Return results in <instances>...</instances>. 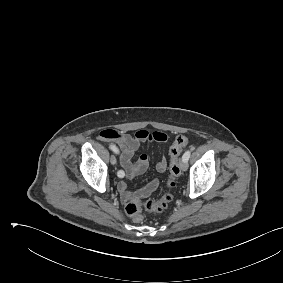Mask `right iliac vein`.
<instances>
[{
  "mask_svg": "<svg viewBox=\"0 0 283 283\" xmlns=\"http://www.w3.org/2000/svg\"><path fill=\"white\" fill-rule=\"evenodd\" d=\"M110 162L112 165H115L117 163L116 157L114 155L111 156Z\"/></svg>",
  "mask_w": 283,
  "mask_h": 283,
  "instance_id": "1",
  "label": "right iliac vein"
}]
</instances>
